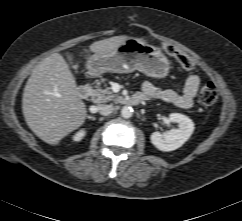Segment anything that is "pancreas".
Segmentation results:
<instances>
[{
	"label": "pancreas",
	"instance_id": "1",
	"mask_svg": "<svg viewBox=\"0 0 242 221\" xmlns=\"http://www.w3.org/2000/svg\"><path fill=\"white\" fill-rule=\"evenodd\" d=\"M99 82L96 83L95 89L92 90L91 100L96 104L106 103V102H114L118 103L121 101V97L117 94H114L109 87L103 89L99 86Z\"/></svg>",
	"mask_w": 242,
	"mask_h": 221
}]
</instances>
